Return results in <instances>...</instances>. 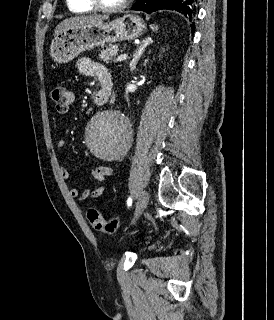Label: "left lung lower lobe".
Instances as JSON below:
<instances>
[{
  "label": "left lung lower lobe",
  "instance_id": "obj_1",
  "mask_svg": "<svg viewBox=\"0 0 274 320\" xmlns=\"http://www.w3.org/2000/svg\"><path fill=\"white\" fill-rule=\"evenodd\" d=\"M163 9L178 11L192 22L196 14L197 0H137L131 8V10L144 11L146 13Z\"/></svg>",
  "mask_w": 274,
  "mask_h": 320
}]
</instances>
